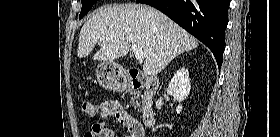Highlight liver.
I'll list each match as a JSON object with an SVG mask.
<instances>
[{
    "instance_id": "liver-1",
    "label": "liver",
    "mask_w": 280,
    "mask_h": 137,
    "mask_svg": "<svg viewBox=\"0 0 280 137\" xmlns=\"http://www.w3.org/2000/svg\"><path fill=\"white\" fill-rule=\"evenodd\" d=\"M145 53L143 71L155 76L177 55L198 47V40L160 11L148 5L129 3L106 7L83 25L77 56H88L96 45L94 60L113 62L125 56L130 44Z\"/></svg>"
}]
</instances>
